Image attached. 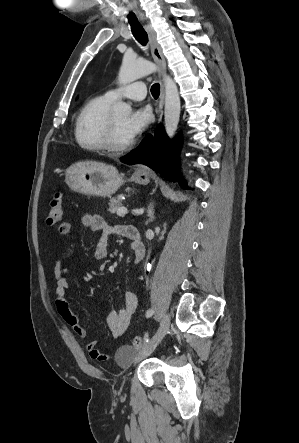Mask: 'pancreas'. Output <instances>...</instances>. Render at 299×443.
I'll use <instances>...</instances> for the list:
<instances>
[{
	"label": "pancreas",
	"instance_id": "1",
	"mask_svg": "<svg viewBox=\"0 0 299 443\" xmlns=\"http://www.w3.org/2000/svg\"><path fill=\"white\" fill-rule=\"evenodd\" d=\"M121 206H122V195L112 198L110 200L109 207L107 210L111 214H114L115 212H117L118 208H120Z\"/></svg>",
	"mask_w": 299,
	"mask_h": 443
}]
</instances>
